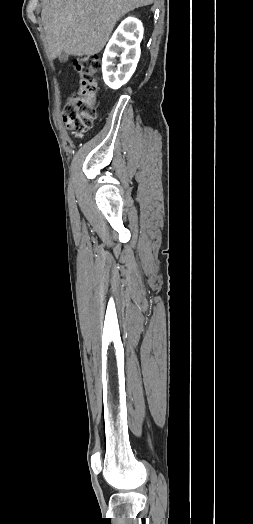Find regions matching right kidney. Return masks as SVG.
I'll return each instance as SVG.
<instances>
[{
    "instance_id": "obj_1",
    "label": "right kidney",
    "mask_w": 253,
    "mask_h": 524,
    "mask_svg": "<svg viewBox=\"0 0 253 524\" xmlns=\"http://www.w3.org/2000/svg\"><path fill=\"white\" fill-rule=\"evenodd\" d=\"M143 25L134 17L121 22L109 40L102 59L103 79L107 86L118 89L133 75L140 58V42L143 38ZM120 64L115 68L116 57Z\"/></svg>"
}]
</instances>
